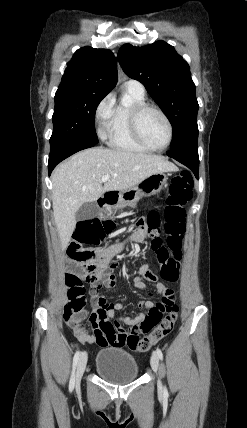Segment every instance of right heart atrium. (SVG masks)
Instances as JSON below:
<instances>
[{"label":"right heart atrium","instance_id":"1","mask_svg":"<svg viewBox=\"0 0 247 428\" xmlns=\"http://www.w3.org/2000/svg\"><path fill=\"white\" fill-rule=\"evenodd\" d=\"M114 114V103L111 95L103 98L95 109V121L101 138L108 136Z\"/></svg>","mask_w":247,"mask_h":428}]
</instances>
